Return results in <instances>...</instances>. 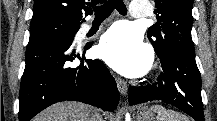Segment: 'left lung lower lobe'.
<instances>
[{
  "mask_svg": "<svg viewBox=\"0 0 217 121\" xmlns=\"http://www.w3.org/2000/svg\"><path fill=\"white\" fill-rule=\"evenodd\" d=\"M157 56L163 68L158 83L131 87L128 95L129 103L134 105L148 101H162L181 109L196 121H204L201 77L195 55L172 49Z\"/></svg>",
  "mask_w": 217,
  "mask_h": 121,
  "instance_id": "left-lung-lower-lobe-1",
  "label": "left lung lower lobe"
}]
</instances>
